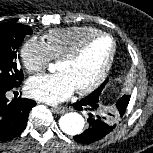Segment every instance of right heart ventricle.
<instances>
[{
	"mask_svg": "<svg viewBox=\"0 0 153 153\" xmlns=\"http://www.w3.org/2000/svg\"><path fill=\"white\" fill-rule=\"evenodd\" d=\"M100 32L99 29L91 26L54 29L44 36V43L51 57L60 59L75 49L84 39Z\"/></svg>",
	"mask_w": 153,
	"mask_h": 153,
	"instance_id": "right-heart-ventricle-1",
	"label": "right heart ventricle"
}]
</instances>
